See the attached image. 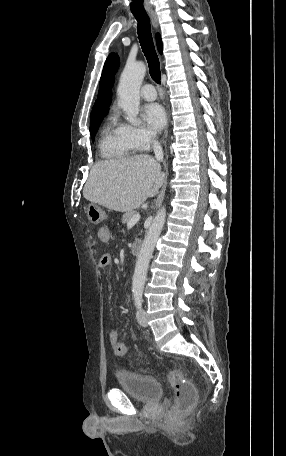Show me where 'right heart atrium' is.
Here are the masks:
<instances>
[{
  "instance_id": "right-heart-atrium-1",
  "label": "right heart atrium",
  "mask_w": 286,
  "mask_h": 456,
  "mask_svg": "<svg viewBox=\"0 0 286 456\" xmlns=\"http://www.w3.org/2000/svg\"><path fill=\"white\" fill-rule=\"evenodd\" d=\"M121 126L128 141L135 149H147L155 139V135L144 126L132 124H123Z\"/></svg>"
}]
</instances>
